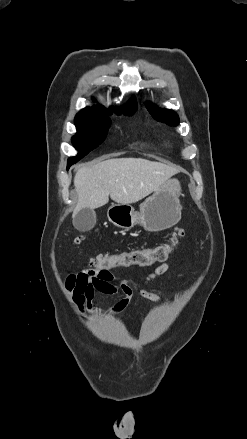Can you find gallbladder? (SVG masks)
<instances>
[{
    "label": "gallbladder",
    "mask_w": 247,
    "mask_h": 439,
    "mask_svg": "<svg viewBox=\"0 0 247 439\" xmlns=\"http://www.w3.org/2000/svg\"><path fill=\"white\" fill-rule=\"evenodd\" d=\"M96 224V213L89 208L81 209L73 217L74 227L82 232L91 230Z\"/></svg>",
    "instance_id": "1"
}]
</instances>
